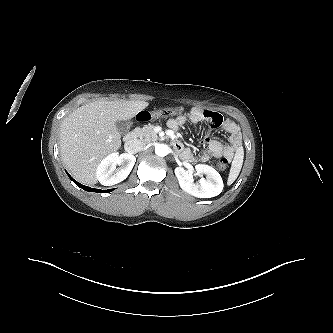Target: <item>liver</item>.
Here are the masks:
<instances>
[{"mask_svg":"<svg viewBox=\"0 0 333 333\" xmlns=\"http://www.w3.org/2000/svg\"><path fill=\"white\" fill-rule=\"evenodd\" d=\"M149 105L145 101L97 100L83 105L61 123L60 153L65 166L81 183H97V167L121 147L116 121L133 118Z\"/></svg>","mask_w":333,"mask_h":333,"instance_id":"liver-1","label":"liver"}]
</instances>
